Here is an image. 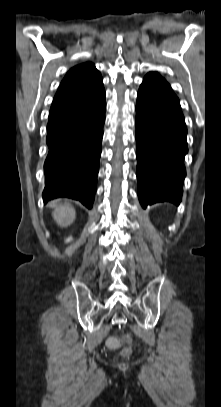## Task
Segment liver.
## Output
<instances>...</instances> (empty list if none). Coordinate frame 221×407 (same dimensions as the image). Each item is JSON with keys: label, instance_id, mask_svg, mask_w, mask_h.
I'll list each match as a JSON object with an SVG mask.
<instances>
[{"label": "liver", "instance_id": "1", "mask_svg": "<svg viewBox=\"0 0 221 407\" xmlns=\"http://www.w3.org/2000/svg\"><path fill=\"white\" fill-rule=\"evenodd\" d=\"M51 206H53L54 208V211L52 213L53 219L58 226L68 227L74 222L76 218V212L72 206H70L69 204L56 205L54 203H52Z\"/></svg>", "mask_w": 221, "mask_h": 407}]
</instances>
